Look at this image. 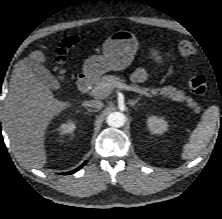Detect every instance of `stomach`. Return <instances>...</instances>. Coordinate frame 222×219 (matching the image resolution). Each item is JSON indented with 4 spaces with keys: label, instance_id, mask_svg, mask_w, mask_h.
<instances>
[{
    "label": "stomach",
    "instance_id": "1",
    "mask_svg": "<svg viewBox=\"0 0 222 219\" xmlns=\"http://www.w3.org/2000/svg\"><path fill=\"white\" fill-rule=\"evenodd\" d=\"M139 42L130 31L120 30L111 34L103 44V55L92 56L84 62L83 74L89 79H97L108 71L126 69L134 60ZM154 61L161 63L159 52L152 50Z\"/></svg>",
    "mask_w": 222,
    "mask_h": 219
}]
</instances>
